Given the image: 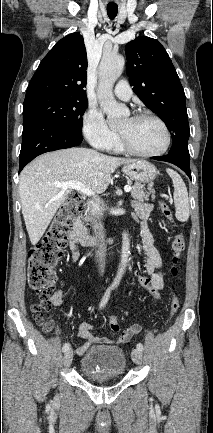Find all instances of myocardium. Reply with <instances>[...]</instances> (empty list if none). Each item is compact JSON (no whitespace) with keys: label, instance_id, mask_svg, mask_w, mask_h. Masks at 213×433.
Here are the masks:
<instances>
[{"label":"myocardium","instance_id":"myocardium-1","mask_svg":"<svg viewBox=\"0 0 213 433\" xmlns=\"http://www.w3.org/2000/svg\"><path fill=\"white\" fill-rule=\"evenodd\" d=\"M130 118L132 120L150 119V120H153L156 123H158L164 131L165 143H164V146L159 151L142 152V151H139V150L135 149L134 147H132L129 144V142L126 140V138L121 133L118 132V141H119V144H120L123 151H125L131 155L138 156V157H144V158L162 156L163 154H165L168 151V149L171 145V132H170L167 124L159 116H157L153 113H150V112L142 111V112L135 113Z\"/></svg>","mask_w":213,"mask_h":433}]
</instances>
